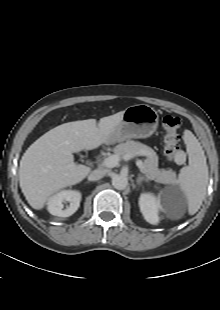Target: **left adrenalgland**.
I'll list each match as a JSON object with an SVG mask.
<instances>
[{
  "label": "left adrenal gland",
  "instance_id": "left-adrenal-gland-1",
  "mask_svg": "<svg viewBox=\"0 0 220 310\" xmlns=\"http://www.w3.org/2000/svg\"><path fill=\"white\" fill-rule=\"evenodd\" d=\"M143 181L148 182V179H146L143 176H139L136 180L137 184L140 185Z\"/></svg>",
  "mask_w": 220,
  "mask_h": 310
}]
</instances>
